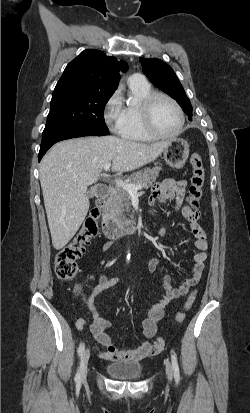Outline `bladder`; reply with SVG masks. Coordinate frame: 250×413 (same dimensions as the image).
<instances>
[{
    "label": "bladder",
    "mask_w": 250,
    "mask_h": 413,
    "mask_svg": "<svg viewBox=\"0 0 250 413\" xmlns=\"http://www.w3.org/2000/svg\"><path fill=\"white\" fill-rule=\"evenodd\" d=\"M105 370L111 377L119 380H137L143 375V366L136 362L110 363Z\"/></svg>",
    "instance_id": "1"
}]
</instances>
